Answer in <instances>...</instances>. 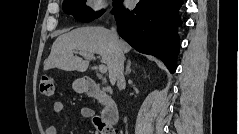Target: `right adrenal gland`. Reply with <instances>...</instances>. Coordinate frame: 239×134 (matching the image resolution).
<instances>
[{
    "label": "right adrenal gland",
    "instance_id": "1",
    "mask_svg": "<svg viewBox=\"0 0 239 134\" xmlns=\"http://www.w3.org/2000/svg\"><path fill=\"white\" fill-rule=\"evenodd\" d=\"M131 73V61L128 60L127 61V66H126V72H125V75H128Z\"/></svg>",
    "mask_w": 239,
    "mask_h": 134
}]
</instances>
